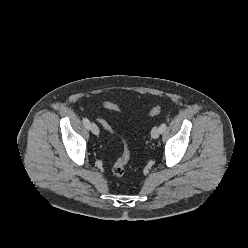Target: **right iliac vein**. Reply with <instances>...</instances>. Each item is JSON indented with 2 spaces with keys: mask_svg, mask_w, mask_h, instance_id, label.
Listing matches in <instances>:
<instances>
[{
  "mask_svg": "<svg viewBox=\"0 0 248 248\" xmlns=\"http://www.w3.org/2000/svg\"><path fill=\"white\" fill-rule=\"evenodd\" d=\"M90 130L94 135H99V128L95 123L90 124Z\"/></svg>",
  "mask_w": 248,
  "mask_h": 248,
  "instance_id": "63e3f726",
  "label": "right iliac vein"
}]
</instances>
